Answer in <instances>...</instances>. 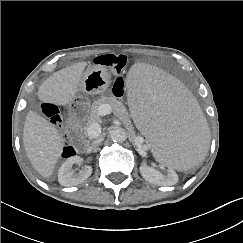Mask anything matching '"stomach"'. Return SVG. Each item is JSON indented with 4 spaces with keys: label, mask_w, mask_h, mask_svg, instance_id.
Returning <instances> with one entry per match:
<instances>
[{
    "label": "stomach",
    "mask_w": 243,
    "mask_h": 243,
    "mask_svg": "<svg viewBox=\"0 0 243 243\" xmlns=\"http://www.w3.org/2000/svg\"><path fill=\"white\" fill-rule=\"evenodd\" d=\"M108 70L101 65H90L84 71L78 88V93L69 104V113L75 116L82 107L88 106L87 95L104 93L110 86Z\"/></svg>",
    "instance_id": "0dacf381"
}]
</instances>
